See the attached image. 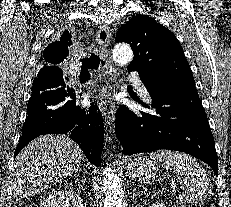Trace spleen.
I'll return each mask as SVG.
<instances>
[{
  "label": "spleen",
  "mask_w": 231,
  "mask_h": 207,
  "mask_svg": "<svg viewBox=\"0 0 231 207\" xmlns=\"http://www.w3.org/2000/svg\"><path fill=\"white\" fill-rule=\"evenodd\" d=\"M152 160L161 162L167 170H173L183 185L179 201L183 204L203 202L212 194V184L203 167L191 156L170 150H158L150 154Z\"/></svg>",
  "instance_id": "spleen-1"
}]
</instances>
